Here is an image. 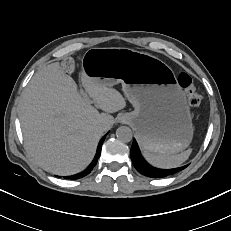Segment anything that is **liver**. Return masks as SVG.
Segmentation results:
<instances>
[{
  "label": "liver",
  "instance_id": "obj_1",
  "mask_svg": "<svg viewBox=\"0 0 231 231\" xmlns=\"http://www.w3.org/2000/svg\"><path fill=\"white\" fill-rule=\"evenodd\" d=\"M81 82L94 105L86 103L73 78L58 62L44 66L24 90L19 119L28 153L44 170L72 175L92 161L99 139L126 107L119 91L87 76ZM103 127L105 129H103Z\"/></svg>",
  "mask_w": 231,
  "mask_h": 231
}]
</instances>
